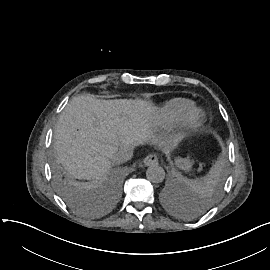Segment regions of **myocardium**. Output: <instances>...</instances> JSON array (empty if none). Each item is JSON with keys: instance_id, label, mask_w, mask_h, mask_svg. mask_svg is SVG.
I'll list each match as a JSON object with an SVG mask.
<instances>
[{"instance_id": "1", "label": "myocardium", "mask_w": 270, "mask_h": 270, "mask_svg": "<svg viewBox=\"0 0 270 270\" xmlns=\"http://www.w3.org/2000/svg\"><path fill=\"white\" fill-rule=\"evenodd\" d=\"M203 119V112L198 109H192L186 118L184 119L179 133H178V139L179 141H182L189 132L193 131L202 121Z\"/></svg>"}]
</instances>
